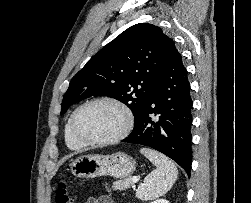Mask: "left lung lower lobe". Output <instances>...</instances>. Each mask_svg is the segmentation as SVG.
Here are the masks:
<instances>
[{
  "mask_svg": "<svg viewBox=\"0 0 251 203\" xmlns=\"http://www.w3.org/2000/svg\"><path fill=\"white\" fill-rule=\"evenodd\" d=\"M192 106L188 72L174 46L133 131L122 142L151 147L173 159L190 175Z\"/></svg>",
  "mask_w": 251,
  "mask_h": 203,
  "instance_id": "left-lung-lower-lobe-1",
  "label": "left lung lower lobe"
}]
</instances>
